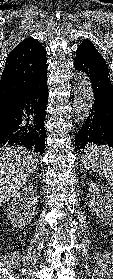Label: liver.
<instances>
[{
  "label": "liver",
  "instance_id": "obj_1",
  "mask_svg": "<svg viewBox=\"0 0 113 279\" xmlns=\"http://www.w3.org/2000/svg\"><path fill=\"white\" fill-rule=\"evenodd\" d=\"M38 163V155L21 146L0 147V207L26 184Z\"/></svg>",
  "mask_w": 113,
  "mask_h": 279
}]
</instances>
